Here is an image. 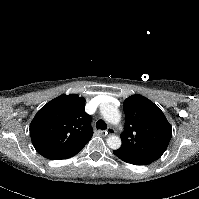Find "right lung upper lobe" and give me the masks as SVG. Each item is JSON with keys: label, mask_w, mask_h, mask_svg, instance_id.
Returning a JSON list of instances; mask_svg holds the SVG:
<instances>
[{"label": "right lung upper lobe", "mask_w": 199, "mask_h": 199, "mask_svg": "<svg viewBox=\"0 0 199 199\" xmlns=\"http://www.w3.org/2000/svg\"><path fill=\"white\" fill-rule=\"evenodd\" d=\"M84 109L85 99L76 94H63L44 105L30 124L37 152L51 160L77 154L93 134L91 118Z\"/></svg>", "instance_id": "1"}]
</instances>
